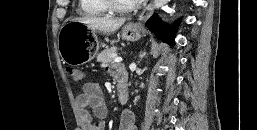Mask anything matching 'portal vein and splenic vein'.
Instances as JSON below:
<instances>
[{
    "label": "portal vein and splenic vein",
    "instance_id": "18ae733b",
    "mask_svg": "<svg viewBox=\"0 0 257 130\" xmlns=\"http://www.w3.org/2000/svg\"><path fill=\"white\" fill-rule=\"evenodd\" d=\"M123 59H122V57H116L115 56V58H114V62H116V63H119V62H121Z\"/></svg>",
    "mask_w": 257,
    "mask_h": 130
}]
</instances>
